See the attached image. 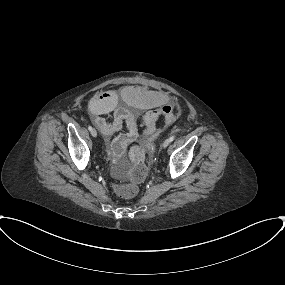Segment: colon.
I'll use <instances>...</instances> for the list:
<instances>
[{
    "instance_id": "1",
    "label": "colon",
    "mask_w": 285,
    "mask_h": 285,
    "mask_svg": "<svg viewBox=\"0 0 285 285\" xmlns=\"http://www.w3.org/2000/svg\"><path fill=\"white\" fill-rule=\"evenodd\" d=\"M159 116L155 111H149L142 117L143 133L153 135L158 126ZM147 163L140 159L131 168L125 182L117 186V192L122 196H133L137 192V184L146 176Z\"/></svg>"
}]
</instances>
